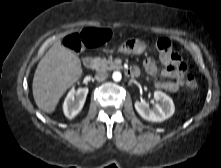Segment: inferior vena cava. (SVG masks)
Wrapping results in <instances>:
<instances>
[{
    "instance_id": "1",
    "label": "inferior vena cava",
    "mask_w": 221,
    "mask_h": 168,
    "mask_svg": "<svg viewBox=\"0 0 221 168\" xmlns=\"http://www.w3.org/2000/svg\"><path fill=\"white\" fill-rule=\"evenodd\" d=\"M108 78V73L106 71H99L95 74V79L97 81H104Z\"/></svg>"
}]
</instances>
